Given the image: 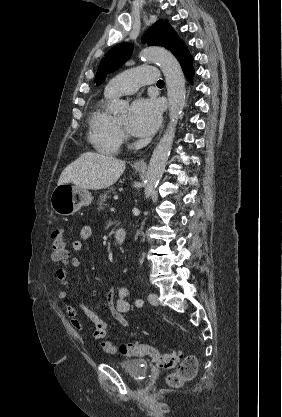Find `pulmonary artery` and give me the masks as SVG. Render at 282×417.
Here are the masks:
<instances>
[{"label": "pulmonary artery", "instance_id": "obj_1", "mask_svg": "<svg viewBox=\"0 0 282 417\" xmlns=\"http://www.w3.org/2000/svg\"><path fill=\"white\" fill-rule=\"evenodd\" d=\"M159 68L155 65H141L139 69L127 70L109 81L105 87L106 97H115L123 94H132L141 85L159 83L160 76L155 74Z\"/></svg>", "mask_w": 282, "mask_h": 417}]
</instances>
